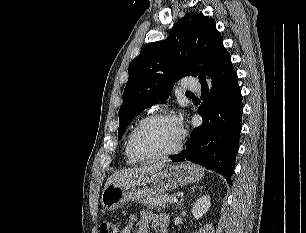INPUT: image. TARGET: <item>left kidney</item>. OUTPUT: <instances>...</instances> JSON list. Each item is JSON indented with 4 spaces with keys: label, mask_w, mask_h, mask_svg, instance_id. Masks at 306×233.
<instances>
[{
    "label": "left kidney",
    "mask_w": 306,
    "mask_h": 233,
    "mask_svg": "<svg viewBox=\"0 0 306 233\" xmlns=\"http://www.w3.org/2000/svg\"><path fill=\"white\" fill-rule=\"evenodd\" d=\"M211 206L210 196L204 195L200 197L192 207V214L196 219L202 218L204 214L207 213Z\"/></svg>",
    "instance_id": "left-kidney-1"
}]
</instances>
